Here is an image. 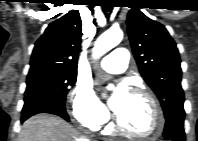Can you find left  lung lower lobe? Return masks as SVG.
Listing matches in <instances>:
<instances>
[{"label": "left lung lower lobe", "mask_w": 198, "mask_h": 141, "mask_svg": "<svg viewBox=\"0 0 198 141\" xmlns=\"http://www.w3.org/2000/svg\"><path fill=\"white\" fill-rule=\"evenodd\" d=\"M184 116L185 112H175L166 120L165 130L163 136L166 139L173 141H184Z\"/></svg>", "instance_id": "0a47b994"}]
</instances>
